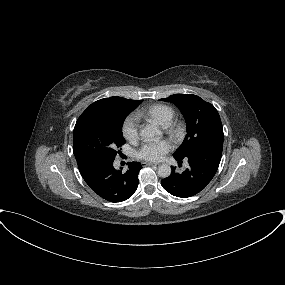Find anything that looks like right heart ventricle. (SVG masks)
Here are the masks:
<instances>
[{
    "instance_id": "obj_1",
    "label": "right heart ventricle",
    "mask_w": 285,
    "mask_h": 285,
    "mask_svg": "<svg viewBox=\"0 0 285 285\" xmlns=\"http://www.w3.org/2000/svg\"><path fill=\"white\" fill-rule=\"evenodd\" d=\"M136 114L138 117L152 119L160 125H167L174 116V110L166 104L159 103L138 110Z\"/></svg>"
}]
</instances>
